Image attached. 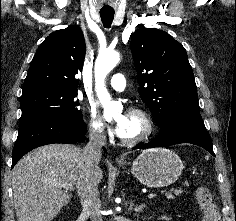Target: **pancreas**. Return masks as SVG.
Segmentation results:
<instances>
[{"label":"pancreas","mask_w":236,"mask_h":221,"mask_svg":"<svg viewBox=\"0 0 236 221\" xmlns=\"http://www.w3.org/2000/svg\"><path fill=\"white\" fill-rule=\"evenodd\" d=\"M183 193V190L182 189H176V190H173L172 192H166L165 193V196L168 198V199H173L174 198V195L178 196L180 194Z\"/></svg>","instance_id":"cf45deb5"}]
</instances>
